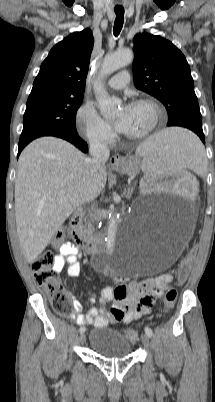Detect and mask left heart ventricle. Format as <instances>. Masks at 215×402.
Segmentation results:
<instances>
[{
    "mask_svg": "<svg viewBox=\"0 0 215 402\" xmlns=\"http://www.w3.org/2000/svg\"><path fill=\"white\" fill-rule=\"evenodd\" d=\"M152 111L147 105L130 106V123L126 134H137L148 128Z\"/></svg>",
    "mask_w": 215,
    "mask_h": 402,
    "instance_id": "left-heart-ventricle-1",
    "label": "left heart ventricle"
}]
</instances>
